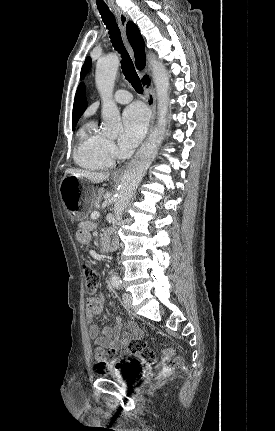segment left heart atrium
Listing matches in <instances>:
<instances>
[{
    "label": "left heart atrium",
    "mask_w": 275,
    "mask_h": 431,
    "mask_svg": "<svg viewBox=\"0 0 275 431\" xmlns=\"http://www.w3.org/2000/svg\"><path fill=\"white\" fill-rule=\"evenodd\" d=\"M148 125L146 110L139 104H133L123 113V129L119 137V144L124 149H132L144 137Z\"/></svg>",
    "instance_id": "obj_1"
}]
</instances>
